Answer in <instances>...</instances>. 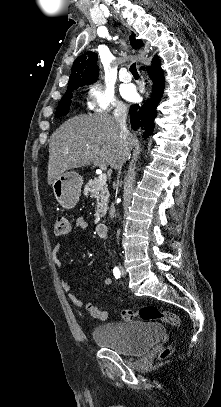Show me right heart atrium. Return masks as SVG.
I'll use <instances>...</instances> for the list:
<instances>
[{
  "label": "right heart atrium",
  "mask_w": 221,
  "mask_h": 407,
  "mask_svg": "<svg viewBox=\"0 0 221 407\" xmlns=\"http://www.w3.org/2000/svg\"><path fill=\"white\" fill-rule=\"evenodd\" d=\"M86 99L90 110L97 113H123L126 106L114 92L100 83H91L86 88Z\"/></svg>",
  "instance_id": "right-heart-atrium-1"
}]
</instances>
